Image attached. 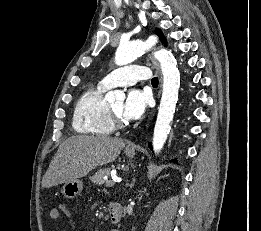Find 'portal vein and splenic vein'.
I'll list each match as a JSON object with an SVG mask.
<instances>
[{"label": "portal vein and splenic vein", "mask_w": 261, "mask_h": 231, "mask_svg": "<svg viewBox=\"0 0 261 231\" xmlns=\"http://www.w3.org/2000/svg\"><path fill=\"white\" fill-rule=\"evenodd\" d=\"M106 179V187H112L115 185L116 182H120L121 180H108L107 177H105Z\"/></svg>", "instance_id": "1"}]
</instances>
